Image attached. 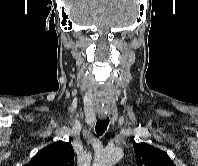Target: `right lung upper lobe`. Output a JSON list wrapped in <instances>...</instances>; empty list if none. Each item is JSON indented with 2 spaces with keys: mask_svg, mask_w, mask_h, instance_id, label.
Listing matches in <instances>:
<instances>
[{
  "mask_svg": "<svg viewBox=\"0 0 198 166\" xmlns=\"http://www.w3.org/2000/svg\"><path fill=\"white\" fill-rule=\"evenodd\" d=\"M25 166H74L73 147L69 142H55L38 151Z\"/></svg>",
  "mask_w": 198,
  "mask_h": 166,
  "instance_id": "right-lung-upper-lobe-1",
  "label": "right lung upper lobe"
}]
</instances>
